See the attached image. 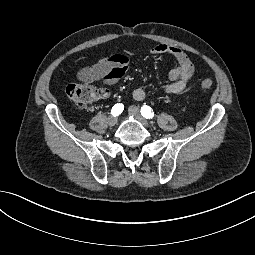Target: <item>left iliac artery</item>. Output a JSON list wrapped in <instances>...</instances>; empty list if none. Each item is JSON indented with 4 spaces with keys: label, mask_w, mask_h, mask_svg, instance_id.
Masks as SVG:
<instances>
[{
    "label": "left iliac artery",
    "mask_w": 255,
    "mask_h": 255,
    "mask_svg": "<svg viewBox=\"0 0 255 255\" xmlns=\"http://www.w3.org/2000/svg\"><path fill=\"white\" fill-rule=\"evenodd\" d=\"M141 114L146 119H152L153 116H154L153 110L149 106H147V105H143L141 107Z\"/></svg>",
    "instance_id": "1"
}]
</instances>
